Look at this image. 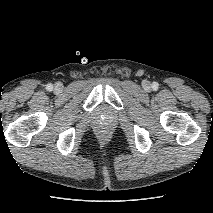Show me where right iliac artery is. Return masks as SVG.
I'll use <instances>...</instances> for the list:
<instances>
[{
  "label": "right iliac artery",
  "instance_id": "right-iliac-artery-1",
  "mask_svg": "<svg viewBox=\"0 0 213 213\" xmlns=\"http://www.w3.org/2000/svg\"><path fill=\"white\" fill-rule=\"evenodd\" d=\"M46 89L48 90V91H52V89H53V85L50 83V84H47L46 85Z\"/></svg>",
  "mask_w": 213,
  "mask_h": 213
}]
</instances>
